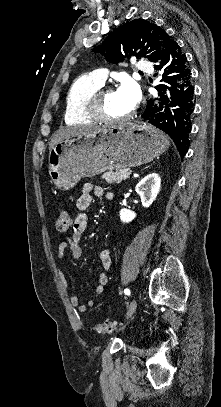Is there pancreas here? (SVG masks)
I'll use <instances>...</instances> for the list:
<instances>
[{"label":"pancreas","mask_w":221,"mask_h":407,"mask_svg":"<svg viewBox=\"0 0 221 407\" xmlns=\"http://www.w3.org/2000/svg\"><path fill=\"white\" fill-rule=\"evenodd\" d=\"M128 172L129 169L122 168L116 170L115 172L114 171L106 172L102 175V178L105 179L107 183H120L122 180H125L129 177L127 175Z\"/></svg>","instance_id":"1"}]
</instances>
